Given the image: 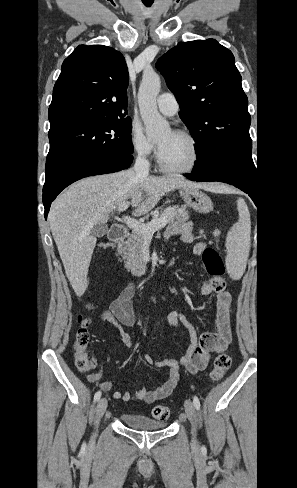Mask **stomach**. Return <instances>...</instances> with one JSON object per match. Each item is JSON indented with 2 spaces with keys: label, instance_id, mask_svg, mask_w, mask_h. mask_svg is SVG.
I'll use <instances>...</instances> for the list:
<instances>
[{
  "label": "stomach",
  "instance_id": "1",
  "mask_svg": "<svg viewBox=\"0 0 297 488\" xmlns=\"http://www.w3.org/2000/svg\"><path fill=\"white\" fill-rule=\"evenodd\" d=\"M179 193L187 206L195 211L207 214L213 210V203L207 194L197 188H180Z\"/></svg>",
  "mask_w": 297,
  "mask_h": 488
}]
</instances>
